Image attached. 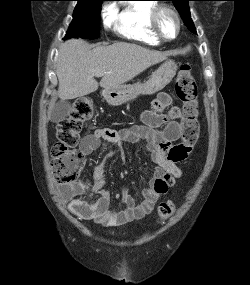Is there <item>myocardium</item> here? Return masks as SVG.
<instances>
[{
  "label": "myocardium",
  "mask_w": 250,
  "mask_h": 285,
  "mask_svg": "<svg viewBox=\"0 0 250 285\" xmlns=\"http://www.w3.org/2000/svg\"><path fill=\"white\" fill-rule=\"evenodd\" d=\"M165 12L170 13L175 18L176 23H177V31L175 35L170 38L165 37L161 33L160 28H159L160 17ZM150 28H151V32L154 35V37L158 39L160 42H170V41L175 40L180 34L181 29H182V21H181L179 13L174 8L168 5H159V6H156L154 10L152 11V14L150 17Z\"/></svg>",
  "instance_id": "1"
}]
</instances>
